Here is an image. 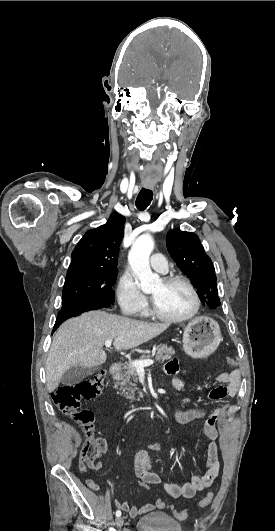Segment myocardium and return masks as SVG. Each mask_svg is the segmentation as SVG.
I'll return each mask as SVG.
<instances>
[{
    "label": "myocardium",
    "instance_id": "obj_1",
    "mask_svg": "<svg viewBox=\"0 0 275 531\" xmlns=\"http://www.w3.org/2000/svg\"><path fill=\"white\" fill-rule=\"evenodd\" d=\"M162 281L164 283H181L183 285H185L188 290L190 291L191 295H192V298H193V307L191 309V311L189 313H187L186 315L184 316H181V317H170V316H165L163 314H161L156 305H155V302L152 298V310H153V313L154 315L161 321H164V322H167V323H184V322H187L189 321L190 319H192L199 311L200 309V297H199V294L195 288V286L192 284V282L184 277V276H181V275H169V276H166L162 279Z\"/></svg>",
    "mask_w": 275,
    "mask_h": 531
}]
</instances>
